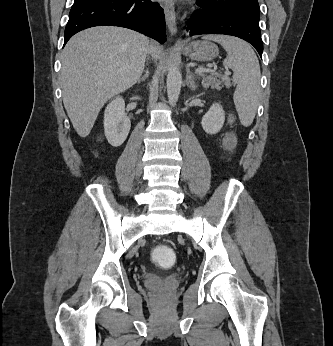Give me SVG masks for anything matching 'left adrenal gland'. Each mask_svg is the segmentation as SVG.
Segmentation results:
<instances>
[{
    "mask_svg": "<svg viewBox=\"0 0 333 346\" xmlns=\"http://www.w3.org/2000/svg\"><path fill=\"white\" fill-rule=\"evenodd\" d=\"M196 77L191 73L189 66L186 67V84L191 90H195L197 85L195 83Z\"/></svg>",
    "mask_w": 333,
    "mask_h": 346,
    "instance_id": "obj_1",
    "label": "left adrenal gland"
}]
</instances>
